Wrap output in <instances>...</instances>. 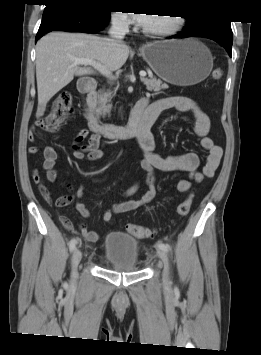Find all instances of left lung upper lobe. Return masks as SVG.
Instances as JSON below:
<instances>
[{"label": "left lung upper lobe", "mask_w": 261, "mask_h": 355, "mask_svg": "<svg viewBox=\"0 0 261 355\" xmlns=\"http://www.w3.org/2000/svg\"><path fill=\"white\" fill-rule=\"evenodd\" d=\"M187 19V25L185 26V29L187 30H197L200 27L204 26L207 22L216 20V19H209V18H186ZM220 21H225L229 22L226 20H220Z\"/></svg>", "instance_id": "left-lung-upper-lobe-1"}]
</instances>
